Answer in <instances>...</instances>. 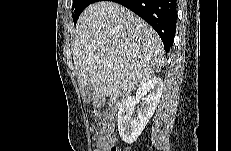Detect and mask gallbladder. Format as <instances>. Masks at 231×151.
Returning a JSON list of instances; mask_svg holds the SVG:
<instances>
[{
    "label": "gallbladder",
    "instance_id": "1",
    "mask_svg": "<svg viewBox=\"0 0 231 151\" xmlns=\"http://www.w3.org/2000/svg\"><path fill=\"white\" fill-rule=\"evenodd\" d=\"M84 96H85L86 102H91L92 100H94L95 91L91 85L88 84L84 87Z\"/></svg>",
    "mask_w": 231,
    "mask_h": 151
}]
</instances>
